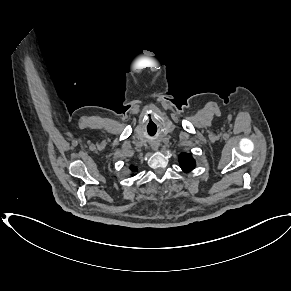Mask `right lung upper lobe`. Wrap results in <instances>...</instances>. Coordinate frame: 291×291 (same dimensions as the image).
Here are the masks:
<instances>
[{
    "label": "right lung upper lobe",
    "mask_w": 291,
    "mask_h": 291,
    "mask_svg": "<svg viewBox=\"0 0 291 291\" xmlns=\"http://www.w3.org/2000/svg\"><path fill=\"white\" fill-rule=\"evenodd\" d=\"M132 171H136V167H134V166H131V168H130Z\"/></svg>",
    "instance_id": "obj_1"
}]
</instances>
